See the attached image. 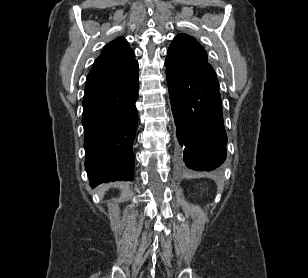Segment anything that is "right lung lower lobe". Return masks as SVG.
Segmentation results:
<instances>
[{
  "mask_svg": "<svg viewBox=\"0 0 308 278\" xmlns=\"http://www.w3.org/2000/svg\"><path fill=\"white\" fill-rule=\"evenodd\" d=\"M138 88L136 74L124 86L84 94L85 168L91 185L133 179Z\"/></svg>",
  "mask_w": 308,
  "mask_h": 278,
  "instance_id": "obj_1",
  "label": "right lung lower lobe"
}]
</instances>
